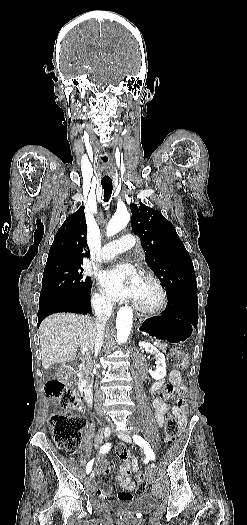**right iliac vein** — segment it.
I'll use <instances>...</instances> for the list:
<instances>
[{
	"label": "right iliac vein",
	"instance_id": "63e3f726",
	"mask_svg": "<svg viewBox=\"0 0 247 525\" xmlns=\"http://www.w3.org/2000/svg\"><path fill=\"white\" fill-rule=\"evenodd\" d=\"M111 434V428L110 427H106L105 430H104V437L105 438H108ZM91 478H93L95 476V473L94 471L91 472L90 474Z\"/></svg>",
	"mask_w": 247,
	"mask_h": 525
}]
</instances>
